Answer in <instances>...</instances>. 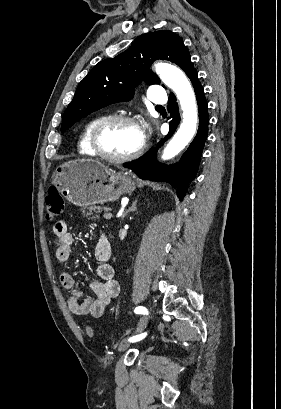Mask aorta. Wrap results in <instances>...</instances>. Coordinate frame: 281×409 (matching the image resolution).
I'll use <instances>...</instances> for the list:
<instances>
[{
  "label": "aorta",
  "instance_id": "762f6f07",
  "mask_svg": "<svg viewBox=\"0 0 281 409\" xmlns=\"http://www.w3.org/2000/svg\"><path fill=\"white\" fill-rule=\"evenodd\" d=\"M155 68L161 80L176 94L183 111L182 123L162 155V159L168 160L181 152L192 140L197 128L198 109L192 86L179 68L167 63H158Z\"/></svg>",
  "mask_w": 281,
  "mask_h": 409
}]
</instances>
